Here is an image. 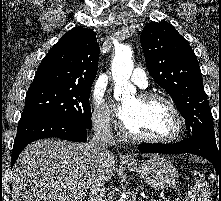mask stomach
Segmentation results:
<instances>
[{"label": "stomach", "mask_w": 221, "mask_h": 201, "mask_svg": "<svg viewBox=\"0 0 221 201\" xmlns=\"http://www.w3.org/2000/svg\"><path fill=\"white\" fill-rule=\"evenodd\" d=\"M129 170L137 173L144 182L155 189H169L175 186L178 180V171L175 166L161 156L137 162L126 163Z\"/></svg>", "instance_id": "1"}]
</instances>
